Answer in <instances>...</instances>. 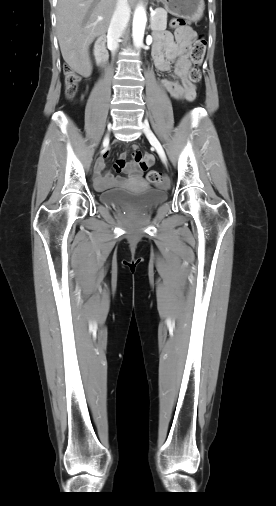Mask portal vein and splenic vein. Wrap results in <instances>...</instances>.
Returning <instances> with one entry per match:
<instances>
[{
  "instance_id": "portal-vein-and-splenic-vein-1",
  "label": "portal vein and splenic vein",
  "mask_w": 276,
  "mask_h": 506,
  "mask_svg": "<svg viewBox=\"0 0 276 506\" xmlns=\"http://www.w3.org/2000/svg\"><path fill=\"white\" fill-rule=\"evenodd\" d=\"M156 11H152L151 12V19L154 17ZM103 18L102 17H98V20H102Z\"/></svg>"
}]
</instances>
